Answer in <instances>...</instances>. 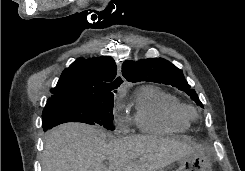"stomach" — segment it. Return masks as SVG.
<instances>
[{
  "label": "stomach",
  "instance_id": "0dacf381",
  "mask_svg": "<svg viewBox=\"0 0 245 171\" xmlns=\"http://www.w3.org/2000/svg\"><path fill=\"white\" fill-rule=\"evenodd\" d=\"M176 171H212V162L206 152L195 151L178 161Z\"/></svg>",
  "mask_w": 245,
  "mask_h": 171
}]
</instances>
